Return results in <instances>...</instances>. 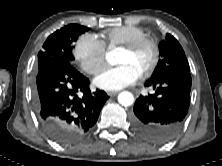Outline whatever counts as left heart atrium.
I'll return each instance as SVG.
<instances>
[{"mask_svg": "<svg viewBox=\"0 0 222 166\" xmlns=\"http://www.w3.org/2000/svg\"><path fill=\"white\" fill-rule=\"evenodd\" d=\"M141 73L131 64L124 63L102 70L94 79L97 87L106 91H117L135 83Z\"/></svg>", "mask_w": 222, "mask_h": 166, "instance_id": "39dd6f15", "label": "left heart atrium"}]
</instances>
